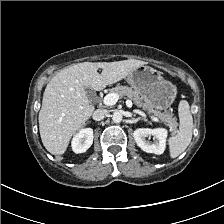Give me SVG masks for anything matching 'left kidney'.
Listing matches in <instances>:
<instances>
[{"label": "left kidney", "instance_id": "1", "mask_svg": "<svg viewBox=\"0 0 224 224\" xmlns=\"http://www.w3.org/2000/svg\"><path fill=\"white\" fill-rule=\"evenodd\" d=\"M136 144L147 153L162 154L166 148V139L168 131L164 128H139L133 133ZM153 136L156 139L155 143L146 141V137Z\"/></svg>", "mask_w": 224, "mask_h": 224}]
</instances>
